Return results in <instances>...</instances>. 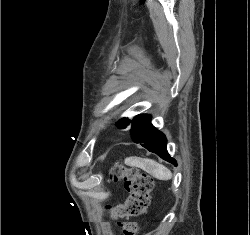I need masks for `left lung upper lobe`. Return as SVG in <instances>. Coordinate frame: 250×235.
<instances>
[{
    "label": "left lung upper lobe",
    "instance_id": "5c2ea615",
    "mask_svg": "<svg viewBox=\"0 0 250 235\" xmlns=\"http://www.w3.org/2000/svg\"><path fill=\"white\" fill-rule=\"evenodd\" d=\"M130 120L127 118H122L117 122V125L120 126V128H126L129 125Z\"/></svg>",
    "mask_w": 250,
    "mask_h": 235
}]
</instances>
